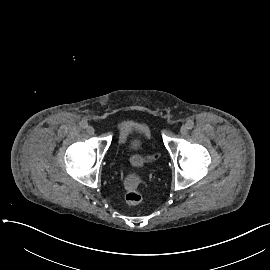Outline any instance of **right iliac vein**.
I'll list each match as a JSON object with an SVG mask.
<instances>
[{
  "label": "right iliac vein",
  "mask_w": 270,
  "mask_h": 270,
  "mask_svg": "<svg viewBox=\"0 0 270 270\" xmlns=\"http://www.w3.org/2000/svg\"><path fill=\"white\" fill-rule=\"evenodd\" d=\"M94 132H95V129L92 126H88L87 133L90 134V135H93Z\"/></svg>",
  "instance_id": "obj_1"
}]
</instances>
